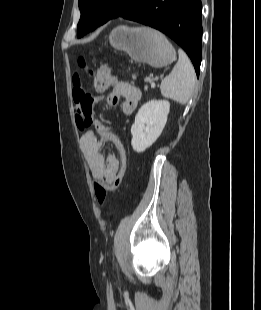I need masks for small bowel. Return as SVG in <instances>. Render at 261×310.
<instances>
[{"label":"small bowel","instance_id":"obj_1","mask_svg":"<svg viewBox=\"0 0 261 310\" xmlns=\"http://www.w3.org/2000/svg\"><path fill=\"white\" fill-rule=\"evenodd\" d=\"M105 100L108 105L116 106L120 103V109L125 114L133 113L139 106L141 91L128 81H115L112 90L104 96H91L82 89L79 79H74L73 101L77 112L76 122L80 130H87L81 139L86 159L93 177L102 182H112L119 171V160L116 155L106 158L101 152L103 141L114 144L120 141L109 126L97 120L94 116V107L100 101Z\"/></svg>","mask_w":261,"mask_h":310}]
</instances>
